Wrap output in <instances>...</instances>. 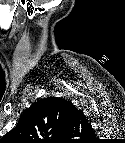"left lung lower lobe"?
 Segmentation results:
<instances>
[{
    "instance_id": "left-lung-lower-lobe-1",
    "label": "left lung lower lobe",
    "mask_w": 125,
    "mask_h": 143,
    "mask_svg": "<svg viewBox=\"0 0 125 143\" xmlns=\"http://www.w3.org/2000/svg\"><path fill=\"white\" fill-rule=\"evenodd\" d=\"M83 116L82 113L80 111H78L75 106L70 102L67 105V125H69V123L74 122L73 120H75L78 117Z\"/></svg>"
}]
</instances>
